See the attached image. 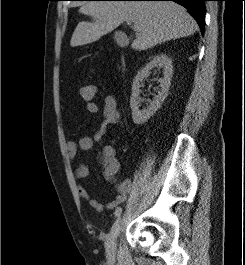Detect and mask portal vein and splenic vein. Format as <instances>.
Returning a JSON list of instances; mask_svg holds the SVG:
<instances>
[{
  "label": "portal vein and splenic vein",
  "mask_w": 245,
  "mask_h": 265,
  "mask_svg": "<svg viewBox=\"0 0 245 265\" xmlns=\"http://www.w3.org/2000/svg\"><path fill=\"white\" fill-rule=\"evenodd\" d=\"M128 25H130L132 22L131 21H126Z\"/></svg>",
  "instance_id": "portal-vein-and-splenic-vein-1"
}]
</instances>
